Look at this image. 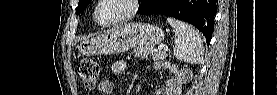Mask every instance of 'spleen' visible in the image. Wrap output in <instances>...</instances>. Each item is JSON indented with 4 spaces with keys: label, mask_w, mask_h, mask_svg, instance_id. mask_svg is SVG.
Instances as JSON below:
<instances>
[{
    "label": "spleen",
    "mask_w": 277,
    "mask_h": 95,
    "mask_svg": "<svg viewBox=\"0 0 277 95\" xmlns=\"http://www.w3.org/2000/svg\"><path fill=\"white\" fill-rule=\"evenodd\" d=\"M167 22L175 33L174 56L186 63H200L204 49L198 32L189 24L174 18H167Z\"/></svg>",
    "instance_id": "3e777b00"
}]
</instances>
